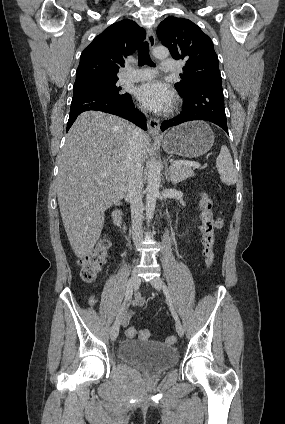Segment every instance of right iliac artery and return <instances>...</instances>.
Segmentation results:
<instances>
[{"label": "right iliac artery", "instance_id": "obj_1", "mask_svg": "<svg viewBox=\"0 0 285 424\" xmlns=\"http://www.w3.org/2000/svg\"><path fill=\"white\" fill-rule=\"evenodd\" d=\"M132 295H133V288L130 285V281H129V283L127 285L126 293H125V299H124V302H123L121 308L119 309V313L117 315V318L120 316V314H122L123 310L125 309L126 303L132 298Z\"/></svg>", "mask_w": 285, "mask_h": 424}]
</instances>
